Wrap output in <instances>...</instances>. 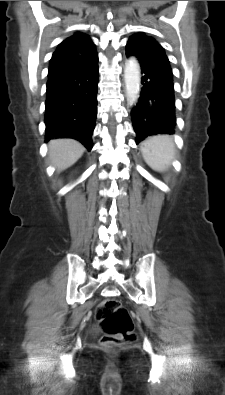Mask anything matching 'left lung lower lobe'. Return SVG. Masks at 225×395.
<instances>
[{"mask_svg":"<svg viewBox=\"0 0 225 395\" xmlns=\"http://www.w3.org/2000/svg\"><path fill=\"white\" fill-rule=\"evenodd\" d=\"M126 55H131L126 51ZM142 90L131 112L136 144L157 134H173L176 125L173 73L169 65L140 64Z\"/></svg>","mask_w":225,"mask_h":395,"instance_id":"1","label":"left lung lower lobe"}]
</instances>
